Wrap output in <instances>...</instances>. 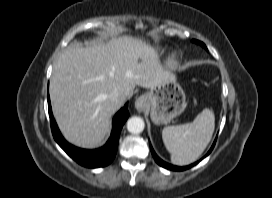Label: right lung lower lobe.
<instances>
[{
    "label": "right lung lower lobe",
    "instance_id": "obj_1",
    "mask_svg": "<svg viewBox=\"0 0 272 198\" xmlns=\"http://www.w3.org/2000/svg\"><path fill=\"white\" fill-rule=\"evenodd\" d=\"M48 111L50 116L52 134L55 141L77 163L85 167L96 168L106 166L112 162L117 152V146L121 129L125 121L129 117L127 104H125V106L115 115L113 119L112 133L107 143L103 147L95 150H85L77 148L69 144L63 138L52 115L49 94H48Z\"/></svg>",
    "mask_w": 272,
    "mask_h": 198
}]
</instances>
